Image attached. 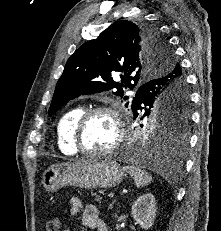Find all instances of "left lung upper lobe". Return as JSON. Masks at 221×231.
I'll return each instance as SVG.
<instances>
[{
    "label": "left lung upper lobe",
    "instance_id": "1",
    "mask_svg": "<svg viewBox=\"0 0 221 231\" xmlns=\"http://www.w3.org/2000/svg\"><path fill=\"white\" fill-rule=\"evenodd\" d=\"M172 59L173 52L156 27L117 21L97 39L84 43L70 56L57 82L48 113L54 114L81 94L116 88L115 94L122 97L123 88L133 89L140 76L151 74L158 77L180 69V64ZM115 72L123 73L120 75L121 83L113 81L112 74ZM176 97L187 100L186 104L174 106L172 103ZM188 104L187 90L177 87L171 94L156 95L139 105L132 101V111L135 118L141 116L142 120L151 116L156 120L151 136L162 138L167 132L168 138L175 139L186 136Z\"/></svg>",
    "mask_w": 221,
    "mask_h": 231
}]
</instances>
